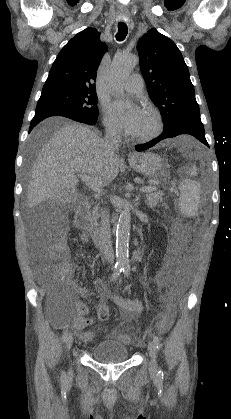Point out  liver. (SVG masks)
<instances>
[{"label":"liver","instance_id":"obj_1","mask_svg":"<svg viewBox=\"0 0 231 419\" xmlns=\"http://www.w3.org/2000/svg\"><path fill=\"white\" fill-rule=\"evenodd\" d=\"M58 122L50 119L47 124ZM119 156L106 150L104 140L91 128L68 124L43 145L32 169L27 205L35 207L49 199H61L78 185V173L91 177L99 187L118 175Z\"/></svg>","mask_w":231,"mask_h":419}]
</instances>
